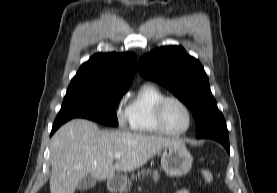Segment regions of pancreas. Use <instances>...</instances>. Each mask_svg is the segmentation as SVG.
Instances as JSON below:
<instances>
[{"instance_id": "1", "label": "pancreas", "mask_w": 277, "mask_h": 193, "mask_svg": "<svg viewBox=\"0 0 277 193\" xmlns=\"http://www.w3.org/2000/svg\"><path fill=\"white\" fill-rule=\"evenodd\" d=\"M141 177H142V179L151 178V179L157 181L159 179L160 175L157 170L151 171L149 169L143 168L141 170H138L136 174L131 175L129 184H131V181H135V180H137V178L140 179Z\"/></svg>"}]
</instances>
